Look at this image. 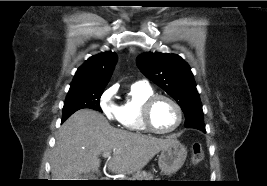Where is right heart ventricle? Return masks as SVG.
I'll return each instance as SVG.
<instances>
[{
	"instance_id": "obj_1",
	"label": "right heart ventricle",
	"mask_w": 267,
	"mask_h": 186,
	"mask_svg": "<svg viewBox=\"0 0 267 186\" xmlns=\"http://www.w3.org/2000/svg\"><path fill=\"white\" fill-rule=\"evenodd\" d=\"M153 94V89L145 83L131 86L126 99L117 108L116 119L123 130L137 133L147 131L141 120V108L144 101Z\"/></svg>"
}]
</instances>
